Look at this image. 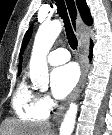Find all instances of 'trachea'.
I'll return each instance as SVG.
<instances>
[{
    "label": "trachea",
    "instance_id": "obj_1",
    "mask_svg": "<svg viewBox=\"0 0 112 135\" xmlns=\"http://www.w3.org/2000/svg\"><path fill=\"white\" fill-rule=\"evenodd\" d=\"M55 3L57 6L58 14L63 19L68 42L72 49H76L77 45H78V41L73 32V29H72V26H71V23H70V20L68 17L65 2H64V0H55ZM69 6L72 7L73 9H75L74 1H71ZM69 6H68V9H69Z\"/></svg>",
    "mask_w": 112,
    "mask_h": 135
}]
</instances>
